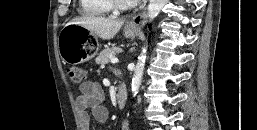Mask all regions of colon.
Segmentation results:
<instances>
[{
    "label": "colon",
    "instance_id": "1",
    "mask_svg": "<svg viewBox=\"0 0 257 130\" xmlns=\"http://www.w3.org/2000/svg\"><path fill=\"white\" fill-rule=\"evenodd\" d=\"M67 71L70 79L75 83H80L85 79V71L80 67L72 66Z\"/></svg>",
    "mask_w": 257,
    "mask_h": 130
}]
</instances>
